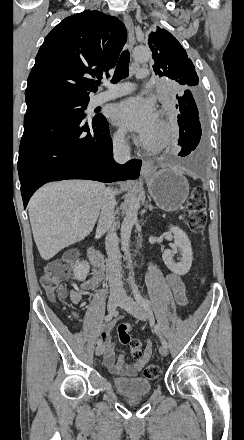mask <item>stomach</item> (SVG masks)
<instances>
[{
  "mask_svg": "<svg viewBox=\"0 0 244 440\" xmlns=\"http://www.w3.org/2000/svg\"><path fill=\"white\" fill-rule=\"evenodd\" d=\"M148 192L155 204L164 212H174L181 208L189 194V184L183 172L174 168H151L149 174H144Z\"/></svg>",
  "mask_w": 244,
  "mask_h": 440,
  "instance_id": "stomach-1",
  "label": "stomach"
}]
</instances>
